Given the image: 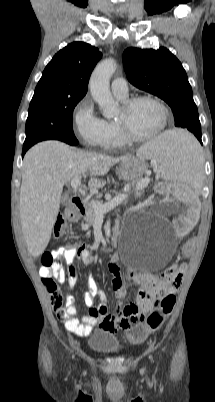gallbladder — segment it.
<instances>
[{
  "label": "gallbladder",
  "mask_w": 215,
  "mask_h": 402,
  "mask_svg": "<svg viewBox=\"0 0 215 402\" xmlns=\"http://www.w3.org/2000/svg\"><path fill=\"white\" fill-rule=\"evenodd\" d=\"M70 201H71V198L67 194H64L61 198V203L64 205L69 204Z\"/></svg>",
  "instance_id": "gallbladder-1"
}]
</instances>
